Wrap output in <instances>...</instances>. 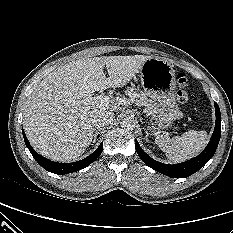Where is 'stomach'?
<instances>
[{
	"mask_svg": "<svg viewBox=\"0 0 233 233\" xmlns=\"http://www.w3.org/2000/svg\"><path fill=\"white\" fill-rule=\"evenodd\" d=\"M141 84L151 104L157 129L167 128L181 116L176 103V75L165 59L151 57L140 69Z\"/></svg>",
	"mask_w": 233,
	"mask_h": 233,
	"instance_id": "0dacf381",
	"label": "stomach"
}]
</instances>
